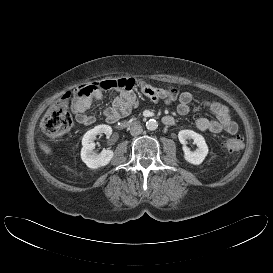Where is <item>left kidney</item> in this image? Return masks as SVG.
Segmentation results:
<instances>
[{
  "label": "left kidney",
  "mask_w": 273,
  "mask_h": 273,
  "mask_svg": "<svg viewBox=\"0 0 273 273\" xmlns=\"http://www.w3.org/2000/svg\"><path fill=\"white\" fill-rule=\"evenodd\" d=\"M178 138L181 144H183L184 158L187 162L199 165L201 164L205 157L208 154V146L205 142L204 137L196 133L192 130H181L178 133ZM187 139H193L194 144H196L197 148L194 151H191L187 146Z\"/></svg>",
  "instance_id": "left-kidney-1"
}]
</instances>
